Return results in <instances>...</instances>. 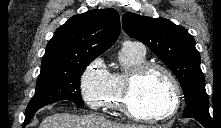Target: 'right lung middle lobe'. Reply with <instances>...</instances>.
Segmentation results:
<instances>
[{"instance_id": "obj_1", "label": "right lung middle lobe", "mask_w": 221, "mask_h": 128, "mask_svg": "<svg viewBox=\"0 0 221 128\" xmlns=\"http://www.w3.org/2000/svg\"><path fill=\"white\" fill-rule=\"evenodd\" d=\"M93 60L94 58L71 63L64 67L41 70L35 94L27 106L26 114L61 100H69L83 107L80 78Z\"/></svg>"}]
</instances>
